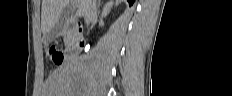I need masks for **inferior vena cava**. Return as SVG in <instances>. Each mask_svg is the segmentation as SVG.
<instances>
[{
    "label": "inferior vena cava",
    "instance_id": "602c4592",
    "mask_svg": "<svg viewBox=\"0 0 232 96\" xmlns=\"http://www.w3.org/2000/svg\"><path fill=\"white\" fill-rule=\"evenodd\" d=\"M97 15L96 0H88L84 14L85 23L88 25Z\"/></svg>",
    "mask_w": 232,
    "mask_h": 96
}]
</instances>
